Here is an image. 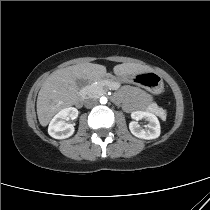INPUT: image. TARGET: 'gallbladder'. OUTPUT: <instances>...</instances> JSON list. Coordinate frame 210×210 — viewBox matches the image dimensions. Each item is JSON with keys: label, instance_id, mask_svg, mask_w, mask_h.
<instances>
[{"label": "gallbladder", "instance_id": "1", "mask_svg": "<svg viewBox=\"0 0 210 210\" xmlns=\"http://www.w3.org/2000/svg\"><path fill=\"white\" fill-rule=\"evenodd\" d=\"M76 83L79 89L83 88L84 86L88 84V82L84 79H77Z\"/></svg>", "mask_w": 210, "mask_h": 210}]
</instances>
